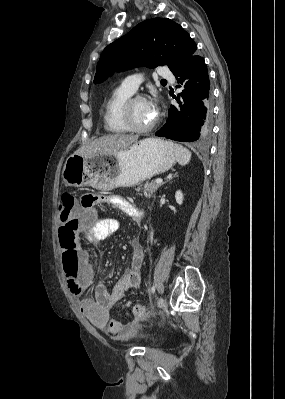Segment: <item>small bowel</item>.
<instances>
[{"mask_svg":"<svg viewBox=\"0 0 285 399\" xmlns=\"http://www.w3.org/2000/svg\"><path fill=\"white\" fill-rule=\"evenodd\" d=\"M97 204H110L122 209L129 217L137 222L144 218V211L132 200L125 197L98 195ZM85 211L94 209V205L87 207L82 205ZM61 210L59 208V220ZM67 223L71 228L60 227L58 232L59 246L63 252L77 248L80 252V287L81 292L75 295L78 299L80 312L87 317L97 328L106 330L111 334L118 335L124 331V327L113 324L109 318V309L113 307L124 295L138 287L141 282L142 265L145 254L142 245L137 238L130 240L132 259L130 269L118 280L111 290L103 284L95 286L94 298L86 296L92 282L94 281L91 255L88 251L79 248L78 240L84 234L92 242H100L108 236L119 231L121 224L116 219L99 218L91 224H87L80 217L77 209H73L67 217Z\"/></svg>","mask_w":285,"mask_h":399,"instance_id":"small-bowel-1","label":"small bowel"}]
</instances>
